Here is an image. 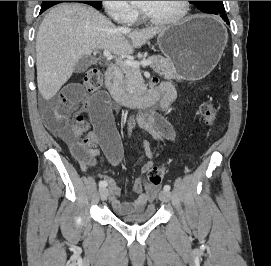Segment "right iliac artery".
Here are the masks:
<instances>
[{"label": "right iliac artery", "mask_w": 271, "mask_h": 266, "mask_svg": "<svg viewBox=\"0 0 271 266\" xmlns=\"http://www.w3.org/2000/svg\"><path fill=\"white\" fill-rule=\"evenodd\" d=\"M106 186H107V182L105 180H102V181L99 182V187L100 188H106Z\"/></svg>", "instance_id": "1"}]
</instances>
